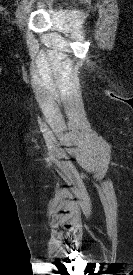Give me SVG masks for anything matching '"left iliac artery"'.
Wrapping results in <instances>:
<instances>
[{"instance_id":"obj_1","label":"left iliac artery","mask_w":133,"mask_h":275,"mask_svg":"<svg viewBox=\"0 0 133 275\" xmlns=\"http://www.w3.org/2000/svg\"><path fill=\"white\" fill-rule=\"evenodd\" d=\"M26 3H27V0H22L19 3V5L17 6V9H16V14H18L22 10V8L26 5Z\"/></svg>"}]
</instances>
